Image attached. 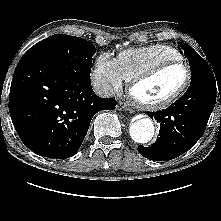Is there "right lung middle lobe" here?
I'll return each mask as SVG.
<instances>
[{
    "label": "right lung middle lobe",
    "mask_w": 221,
    "mask_h": 221,
    "mask_svg": "<svg viewBox=\"0 0 221 221\" xmlns=\"http://www.w3.org/2000/svg\"><path fill=\"white\" fill-rule=\"evenodd\" d=\"M27 52L41 54L74 71L90 75L92 56L96 49L91 42L83 38L55 34L38 42Z\"/></svg>",
    "instance_id": "1"
}]
</instances>
